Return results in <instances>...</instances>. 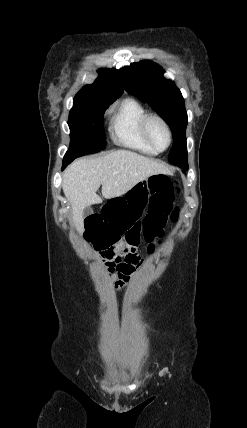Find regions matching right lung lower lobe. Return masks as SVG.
<instances>
[{"instance_id": "right-lung-lower-lobe-1", "label": "right lung lower lobe", "mask_w": 247, "mask_h": 428, "mask_svg": "<svg viewBox=\"0 0 247 428\" xmlns=\"http://www.w3.org/2000/svg\"><path fill=\"white\" fill-rule=\"evenodd\" d=\"M75 158H68L63 160L62 170H64L68 164H70Z\"/></svg>"}]
</instances>
